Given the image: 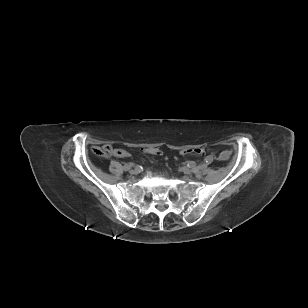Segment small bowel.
Listing matches in <instances>:
<instances>
[{
	"instance_id": "1",
	"label": "small bowel",
	"mask_w": 308,
	"mask_h": 308,
	"mask_svg": "<svg viewBox=\"0 0 308 308\" xmlns=\"http://www.w3.org/2000/svg\"><path fill=\"white\" fill-rule=\"evenodd\" d=\"M107 146L108 145H104V146H102V148H105ZM228 156H229V153L227 151H223V152L220 153L219 159L226 160L228 158Z\"/></svg>"
}]
</instances>
